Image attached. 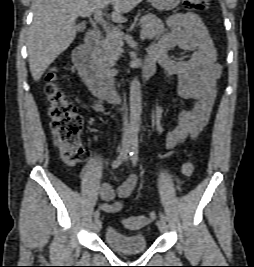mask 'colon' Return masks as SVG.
Instances as JSON below:
<instances>
[{
  "mask_svg": "<svg viewBox=\"0 0 254 267\" xmlns=\"http://www.w3.org/2000/svg\"><path fill=\"white\" fill-rule=\"evenodd\" d=\"M210 0H184L188 10L201 11L208 8ZM45 93L49 104L50 127L53 133L54 144L59 151L61 160L67 165L74 166L84 162L88 151L81 141L83 120L77 112L76 106L70 102L59 84V75L55 67L49 69L45 75ZM182 172L190 176L194 172V165L186 161L182 165ZM155 215H140L126 217L122 220L129 229H140L147 225Z\"/></svg>",
  "mask_w": 254,
  "mask_h": 267,
  "instance_id": "colon-1",
  "label": "colon"
}]
</instances>
